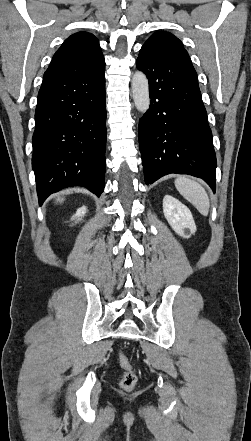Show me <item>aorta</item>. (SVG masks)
<instances>
[{
    "mask_svg": "<svg viewBox=\"0 0 251 441\" xmlns=\"http://www.w3.org/2000/svg\"><path fill=\"white\" fill-rule=\"evenodd\" d=\"M132 96L137 110L145 113L150 106L149 85L146 75L141 71L133 75Z\"/></svg>",
    "mask_w": 251,
    "mask_h": 441,
    "instance_id": "1",
    "label": "aorta"
}]
</instances>
